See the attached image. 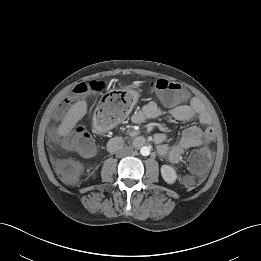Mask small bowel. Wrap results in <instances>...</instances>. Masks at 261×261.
<instances>
[{"label":"small bowel","instance_id":"1","mask_svg":"<svg viewBox=\"0 0 261 261\" xmlns=\"http://www.w3.org/2000/svg\"><path fill=\"white\" fill-rule=\"evenodd\" d=\"M163 114L164 110L156 102L151 101L133 114L132 121L134 123H143L145 120L156 119ZM168 114L178 121H190L195 117H198L203 123H208L209 121L201 101L197 98H193L189 104L171 108ZM214 137L215 132L211 126H207L206 128L189 126L184 129L180 140L173 146L165 143L166 135L164 133H156L154 135V142L157 144L159 155L167 158L172 163H177L181 160L186 150L208 145L213 142Z\"/></svg>","mask_w":261,"mask_h":261}]
</instances>
